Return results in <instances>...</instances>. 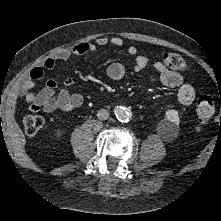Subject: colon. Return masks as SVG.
Here are the masks:
<instances>
[{
  "label": "colon",
  "instance_id": "1",
  "mask_svg": "<svg viewBox=\"0 0 221 221\" xmlns=\"http://www.w3.org/2000/svg\"><path fill=\"white\" fill-rule=\"evenodd\" d=\"M162 63L170 70L186 71L187 64L183 58L176 53H165ZM214 113L213 100L208 95L199 97L196 105L197 120L200 126H205ZM23 127L28 135H36L43 127V118L36 114H26L23 118Z\"/></svg>",
  "mask_w": 221,
  "mask_h": 221
}]
</instances>
